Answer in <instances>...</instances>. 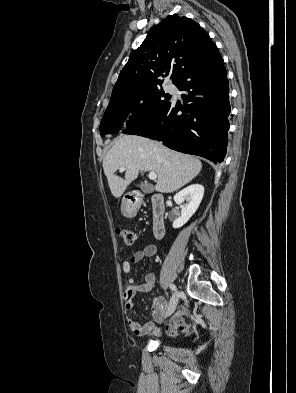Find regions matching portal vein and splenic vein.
<instances>
[{"instance_id": "portal-vein-and-splenic-vein-1", "label": "portal vein and splenic vein", "mask_w": 296, "mask_h": 393, "mask_svg": "<svg viewBox=\"0 0 296 393\" xmlns=\"http://www.w3.org/2000/svg\"><path fill=\"white\" fill-rule=\"evenodd\" d=\"M124 170H125L124 167H121V168H120V171H124ZM148 177H149V179H151V180H155V179L157 178V174H156L155 172H150L149 175H148Z\"/></svg>"}]
</instances>
